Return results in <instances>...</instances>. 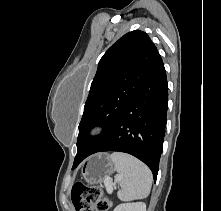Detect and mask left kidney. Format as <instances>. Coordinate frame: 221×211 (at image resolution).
Segmentation results:
<instances>
[{
    "instance_id": "left-kidney-1",
    "label": "left kidney",
    "mask_w": 221,
    "mask_h": 211,
    "mask_svg": "<svg viewBox=\"0 0 221 211\" xmlns=\"http://www.w3.org/2000/svg\"><path fill=\"white\" fill-rule=\"evenodd\" d=\"M113 211H146V204L143 202L123 203L116 206Z\"/></svg>"
}]
</instances>
